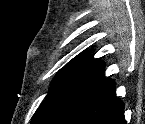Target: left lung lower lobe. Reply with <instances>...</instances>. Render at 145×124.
<instances>
[{
    "label": "left lung lower lobe",
    "instance_id": "obj_1",
    "mask_svg": "<svg viewBox=\"0 0 145 124\" xmlns=\"http://www.w3.org/2000/svg\"><path fill=\"white\" fill-rule=\"evenodd\" d=\"M103 73L104 67L45 124H126L115 82Z\"/></svg>",
    "mask_w": 145,
    "mask_h": 124
}]
</instances>
